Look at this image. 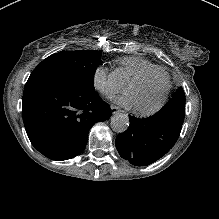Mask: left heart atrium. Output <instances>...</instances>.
I'll return each mask as SVG.
<instances>
[{
	"label": "left heart atrium",
	"instance_id": "left-heart-atrium-1",
	"mask_svg": "<svg viewBox=\"0 0 219 219\" xmlns=\"http://www.w3.org/2000/svg\"><path fill=\"white\" fill-rule=\"evenodd\" d=\"M126 105L138 108L135 100L128 94H123L120 98Z\"/></svg>",
	"mask_w": 219,
	"mask_h": 219
}]
</instances>
